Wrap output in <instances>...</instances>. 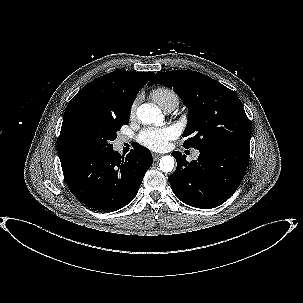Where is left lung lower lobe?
I'll return each mask as SVG.
<instances>
[{
	"mask_svg": "<svg viewBox=\"0 0 303 303\" xmlns=\"http://www.w3.org/2000/svg\"><path fill=\"white\" fill-rule=\"evenodd\" d=\"M198 150V159L190 163L185 155L173 152L177 168L168 180L183 203L210 209L237 190L247 170L250 145L207 144Z\"/></svg>",
	"mask_w": 303,
	"mask_h": 303,
	"instance_id": "left-lung-lower-lobe-1",
	"label": "left lung lower lobe"
}]
</instances>
